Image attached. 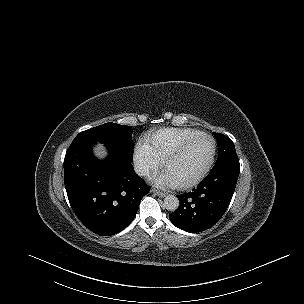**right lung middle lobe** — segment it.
Segmentation results:
<instances>
[{"mask_svg": "<svg viewBox=\"0 0 304 304\" xmlns=\"http://www.w3.org/2000/svg\"><path fill=\"white\" fill-rule=\"evenodd\" d=\"M132 133L131 126L109 122L80 132L73 141L101 142L112 148L124 161L131 163L134 148Z\"/></svg>", "mask_w": 304, "mask_h": 304, "instance_id": "1", "label": "right lung middle lobe"}]
</instances>
